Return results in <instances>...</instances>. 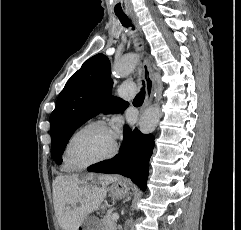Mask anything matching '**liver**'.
<instances>
[{"mask_svg":"<svg viewBox=\"0 0 241 230\" xmlns=\"http://www.w3.org/2000/svg\"><path fill=\"white\" fill-rule=\"evenodd\" d=\"M80 182L77 175L58 176L53 181V199L59 225L63 230H78L86 216L97 210L107 195V186L118 180L116 176H88ZM71 205V206H68Z\"/></svg>","mask_w":241,"mask_h":230,"instance_id":"obj_1","label":"liver"}]
</instances>
